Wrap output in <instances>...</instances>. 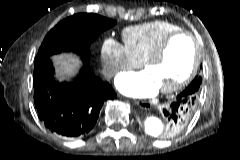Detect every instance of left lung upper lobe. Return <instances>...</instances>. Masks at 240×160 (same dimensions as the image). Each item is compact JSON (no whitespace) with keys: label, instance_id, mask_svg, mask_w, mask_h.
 <instances>
[{"label":"left lung upper lobe","instance_id":"1","mask_svg":"<svg viewBox=\"0 0 240 160\" xmlns=\"http://www.w3.org/2000/svg\"><path fill=\"white\" fill-rule=\"evenodd\" d=\"M191 84H196V91L198 92L199 89H200V85H201V78L200 77H195V79L192 81ZM192 115L193 114H191V113H183V116L186 117V121L183 122L182 125H179L178 127H175V128H173L172 125L170 124V122L168 121V126H167L168 131H167V134L165 136L167 137V136H170L174 133H177V132L181 131L188 124Z\"/></svg>","mask_w":240,"mask_h":160}]
</instances>
